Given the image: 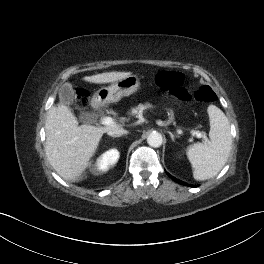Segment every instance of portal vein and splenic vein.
<instances>
[{"mask_svg": "<svg viewBox=\"0 0 264 264\" xmlns=\"http://www.w3.org/2000/svg\"><path fill=\"white\" fill-rule=\"evenodd\" d=\"M101 124L105 125V126H112L114 124V121H113V119L111 117H104L101 120ZM192 135H195L198 138H203L205 140V142L208 141L207 137L203 133H201L199 131H192Z\"/></svg>", "mask_w": 264, "mask_h": 264, "instance_id": "18ae733b", "label": "portal vein and splenic vein"}]
</instances>
